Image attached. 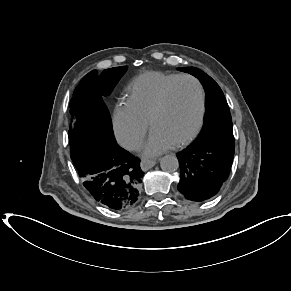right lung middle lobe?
Wrapping results in <instances>:
<instances>
[{"mask_svg":"<svg viewBox=\"0 0 291 291\" xmlns=\"http://www.w3.org/2000/svg\"><path fill=\"white\" fill-rule=\"evenodd\" d=\"M127 70L126 66L89 72L76 87L70 102L69 143L71 156L98 141L115 140L109 111L103 98L108 96Z\"/></svg>","mask_w":291,"mask_h":291,"instance_id":"dd1d6c3e","label":"right lung middle lobe"}]
</instances>
